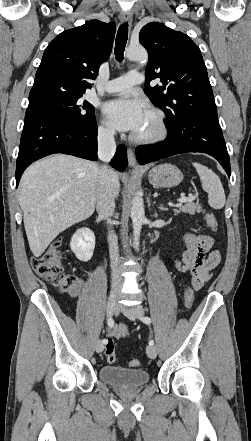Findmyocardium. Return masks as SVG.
<instances>
[{
	"instance_id": "obj_1",
	"label": "myocardium",
	"mask_w": 251,
	"mask_h": 441,
	"mask_svg": "<svg viewBox=\"0 0 251 441\" xmlns=\"http://www.w3.org/2000/svg\"><path fill=\"white\" fill-rule=\"evenodd\" d=\"M155 119L156 131L148 136H137L133 134L131 139L138 144H155L164 140L168 134V126L166 122L165 114L162 110L156 107H150L147 110Z\"/></svg>"
}]
</instances>
